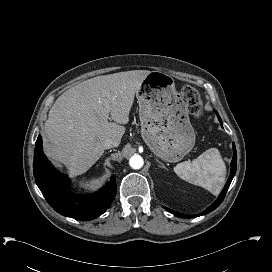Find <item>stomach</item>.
<instances>
[{
    "label": "stomach",
    "mask_w": 272,
    "mask_h": 272,
    "mask_svg": "<svg viewBox=\"0 0 272 272\" xmlns=\"http://www.w3.org/2000/svg\"><path fill=\"white\" fill-rule=\"evenodd\" d=\"M141 135L150 150L167 162H178L195 144L188 109L172 76L152 71L136 91Z\"/></svg>",
    "instance_id": "stomach-1"
}]
</instances>
